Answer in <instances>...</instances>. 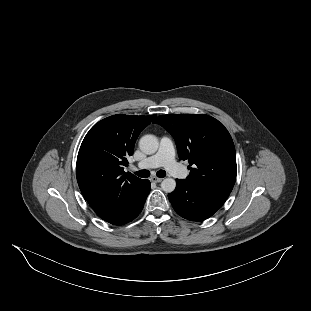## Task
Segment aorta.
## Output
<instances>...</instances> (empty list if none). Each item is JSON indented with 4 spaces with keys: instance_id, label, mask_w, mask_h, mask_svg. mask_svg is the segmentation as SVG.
Segmentation results:
<instances>
[{
    "instance_id": "762f6f07",
    "label": "aorta",
    "mask_w": 311,
    "mask_h": 311,
    "mask_svg": "<svg viewBox=\"0 0 311 311\" xmlns=\"http://www.w3.org/2000/svg\"><path fill=\"white\" fill-rule=\"evenodd\" d=\"M159 147V142L156 136L148 134L144 135L139 140L140 150L147 155L154 154ZM176 181L172 178H166L161 182V188L163 191L170 193L175 190Z\"/></svg>"
}]
</instances>
